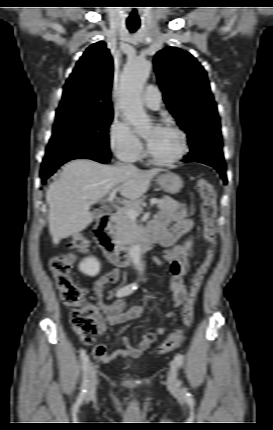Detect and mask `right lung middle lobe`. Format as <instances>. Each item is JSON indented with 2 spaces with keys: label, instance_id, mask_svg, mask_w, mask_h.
I'll return each mask as SVG.
<instances>
[{
  "label": "right lung middle lobe",
  "instance_id": "right-lung-middle-lobe-1",
  "mask_svg": "<svg viewBox=\"0 0 273 430\" xmlns=\"http://www.w3.org/2000/svg\"><path fill=\"white\" fill-rule=\"evenodd\" d=\"M112 118V110L79 107L58 109L53 135L42 165L80 153H109L108 127Z\"/></svg>",
  "mask_w": 273,
  "mask_h": 430
}]
</instances>
